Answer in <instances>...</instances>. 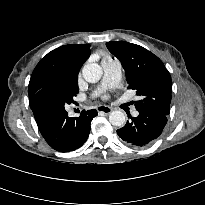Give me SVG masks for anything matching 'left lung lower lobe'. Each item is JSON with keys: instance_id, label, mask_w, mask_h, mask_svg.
<instances>
[{"instance_id": "left-lung-lower-lobe-1", "label": "left lung lower lobe", "mask_w": 205, "mask_h": 205, "mask_svg": "<svg viewBox=\"0 0 205 205\" xmlns=\"http://www.w3.org/2000/svg\"><path fill=\"white\" fill-rule=\"evenodd\" d=\"M137 117H131L126 125L117 130L119 137L128 145L143 147L158 138L166 123L167 116L159 112L138 110Z\"/></svg>"}]
</instances>
